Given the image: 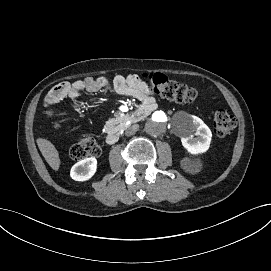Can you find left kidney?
<instances>
[{
  "label": "left kidney",
  "mask_w": 271,
  "mask_h": 271,
  "mask_svg": "<svg viewBox=\"0 0 271 271\" xmlns=\"http://www.w3.org/2000/svg\"><path fill=\"white\" fill-rule=\"evenodd\" d=\"M189 129L181 134V140L190 152L198 153L205 151L211 143V131L209 127L198 117H188ZM197 137H194V136Z\"/></svg>",
  "instance_id": "5707ae66"
}]
</instances>
